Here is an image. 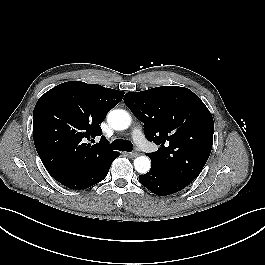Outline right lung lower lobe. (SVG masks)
Masks as SVG:
<instances>
[{"label":"right lung lower lobe","instance_id":"98d812e1","mask_svg":"<svg viewBox=\"0 0 265 265\" xmlns=\"http://www.w3.org/2000/svg\"><path fill=\"white\" fill-rule=\"evenodd\" d=\"M119 156V153L112 156L109 160H107L104 164L86 170H80L77 172L69 173L60 177L55 178L62 185L71 188V189H86L89 188L100 181H102L112 164L115 158Z\"/></svg>","mask_w":265,"mask_h":265}]
</instances>
